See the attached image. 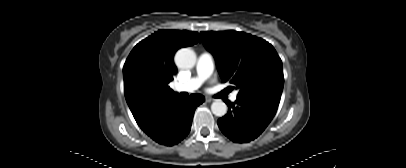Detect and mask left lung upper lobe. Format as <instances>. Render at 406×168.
<instances>
[{
	"label": "left lung upper lobe",
	"instance_id": "left-lung-upper-lobe-1",
	"mask_svg": "<svg viewBox=\"0 0 406 168\" xmlns=\"http://www.w3.org/2000/svg\"><path fill=\"white\" fill-rule=\"evenodd\" d=\"M215 57L222 82L239 89V98L279 104L284 77L282 61L271 44L237 31L201 32Z\"/></svg>",
	"mask_w": 406,
	"mask_h": 168
}]
</instances>
